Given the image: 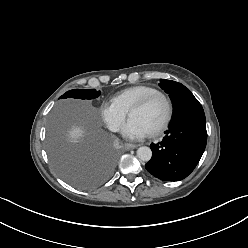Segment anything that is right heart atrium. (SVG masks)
<instances>
[{
    "label": "right heart atrium",
    "instance_id": "d8ad5b80",
    "mask_svg": "<svg viewBox=\"0 0 248 248\" xmlns=\"http://www.w3.org/2000/svg\"><path fill=\"white\" fill-rule=\"evenodd\" d=\"M100 115L106 126L111 131L117 132L121 129L127 112L111 100L101 104Z\"/></svg>",
    "mask_w": 248,
    "mask_h": 248
}]
</instances>
